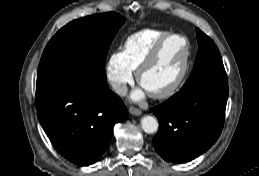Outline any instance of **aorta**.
Masks as SVG:
<instances>
[{
    "label": "aorta",
    "mask_w": 259,
    "mask_h": 176,
    "mask_svg": "<svg viewBox=\"0 0 259 176\" xmlns=\"http://www.w3.org/2000/svg\"><path fill=\"white\" fill-rule=\"evenodd\" d=\"M141 126L146 133L152 134L157 132L159 124H158V121L153 116L147 115L142 117Z\"/></svg>",
    "instance_id": "obj_1"
}]
</instances>
